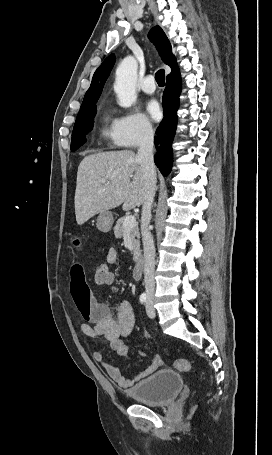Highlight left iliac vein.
<instances>
[{"label": "left iliac vein", "instance_id": "left-iliac-vein-1", "mask_svg": "<svg viewBox=\"0 0 272 455\" xmlns=\"http://www.w3.org/2000/svg\"><path fill=\"white\" fill-rule=\"evenodd\" d=\"M146 311H147V314H148V316L150 318H154L155 317V309H154L153 302H152L151 299H149L148 302H147Z\"/></svg>", "mask_w": 272, "mask_h": 455}]
</instances>
